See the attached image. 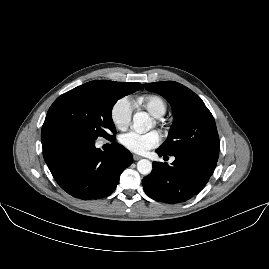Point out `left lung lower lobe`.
<instances>
[{"label": "left lung lower lobe", "instance_id": "left-lung-lower-lobe-1", "mask_svg": "<svg viewBox=\"0 0 269 269\" xmlns=\"http://www.w3.org/2000/svg\"><path fill=\"white\" fill-rule=\"evenodd\" d=\"M159 156H174L167 163H153V171L142 180L145 193L152 199L166 203H180L198 194L208 182L217 161L158 148ZM164 158H168L164 156Z\"/></svg>", "mask_w": 269, "mask_h": 269}]
</instances>
